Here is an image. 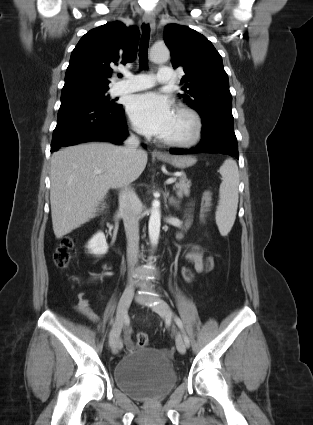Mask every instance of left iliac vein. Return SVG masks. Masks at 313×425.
Here are the masks:
<instances>
[{
    "label": "left iliac vein",
    "mask_w": 313,
    "mask_h": 425,
    "mask_svg": "<svg viewBox=\"0 0 313 425\" xmlns=\"http://www.w3.org/2000/svg\"><path fill=\"white\" fill-rule=\"evenodd\" d=\"M151 308L153 311L163 317L166 321H171V310L169 305L165 301L157 299V303L153 304ZM176 347L181 354H184L186 352V344L179 334L176 335Z\"/></svg>",
    "instance_id": "4c4485c4"
}]
</instances>
